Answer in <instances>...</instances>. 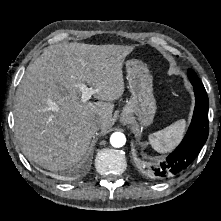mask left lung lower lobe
Returning <instances> with one entry per match:
<instances>
[{"label": "left lung lower lobe", "mask_w": 221, "mask_h": 221, "mask_svg": "<svg viewBox=\"0 0 221 221\" xmlns=\"http://www.w3.org/2000/svg\"><path fill=\"white\" fill-rule=\"evenodd\" d=\"M195 108L190 127L180 145L156 167H146V174L153 179H168L185 170L196 158L209 133V100L204 87L193 85Z\"/></svg>", "instance_id": "obj_1"}]
</instances>
